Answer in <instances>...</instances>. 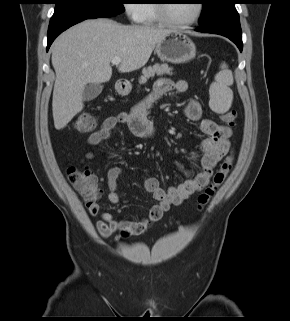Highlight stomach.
Wrapping results in <instances>:
<instances>
[{"label":"stomach","instance_id":"obj_1","mask_svg":"<svg viewBox=\"0 0 290 321\" xmlns=\"http://www.w3.org/2000/svg\"><path fill=\"white\" fill-rule=\"evenodd\" d=\"M155 52L162 61L181 64L195 58L196 46L185 33L171 31L156 45ZM131 88L130 83L116 85V90L121 95L128 94Z\"/></svg>","mask_w":290,"mask_h":321}]
</instances>
